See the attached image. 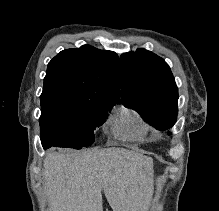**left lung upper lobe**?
I'll return each instance as SVG.
<instances>
[{"label":"left lung upper lobe","instance_id":"obj_1","mask_svg":"<svg viewBox=\"0 0 219 211\" xmlns=\"http://www.w3.org/2000/svg\"><path fill=\"white\" fill-rule=\"evenodd\" d=\"M122 102L154 127L171 128L177 118L178 88L168 64L138 49L120 58Z\"/></svg>","mask_w":219,"mask_h":211}]
</instances>
